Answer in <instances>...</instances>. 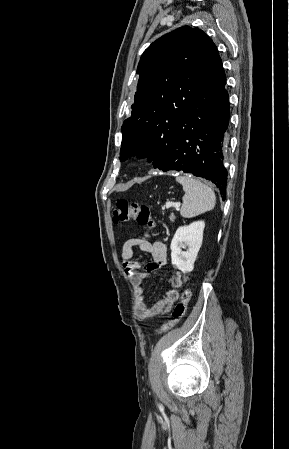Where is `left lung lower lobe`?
<instances>
[{"label":"left lung lower lobe","instance_id":"1","mask_svg":"<svg viewBox=\"0 0 289 449\" xmlns=\"http://www.w3.org/2000/svg\"><path fill=\"white\" fill-rule=\"evenodd\" d=\"M229 112L226 75L217 54L196 91L192 106L175 126L166 158L154 168L162 172L183 171L210 180L225 199L224 152Z\"/></svg>","mask_w":289,"mask_h":449}]
</instances>
